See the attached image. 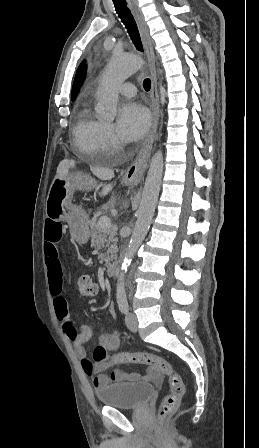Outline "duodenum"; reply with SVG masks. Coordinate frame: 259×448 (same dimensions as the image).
Instances as JSON below:
<instances>
[{
  "instance_id": "410a0bca",
  "label": "duodenum",
  "mask_w": 259,
  "mask_h": 448,
  "mask_svg": "<svg viewBox=\"0 0 259 448\" xmlns=\"http://www.w3.org/2000/svg\"><path fill=\"white\" fill-rule=\"evenodd\" d=\"M118 268H119V264L117 261H113L111 262L108 267H107V274L110 277H114L116 276L117 272H118Z\"/></svg>"
}]
</instances>
